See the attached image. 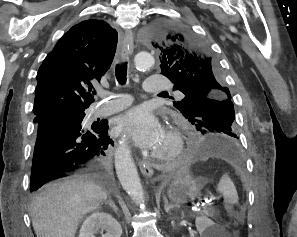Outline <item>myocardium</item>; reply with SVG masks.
Returning a JSON list of instances; mask_svg holds the SVG:
<instances>
[{"instance_id": "f54148a6", "label": "myocardium", "mask_w": 297, "mask_h": 237, "mask_svg": "<svg viewBox=\"0 0 297 237\" xmlns=\"http://www.w3.org/2000/svg\"><path fill=\"white\" fill-rule=\"evenodd\" d=\"M165 134L168 139V146L162 151H154L152 157L159 162H170L180 157L184 151V136L176 126H167Z\"/></svg>"}]
</instances>
